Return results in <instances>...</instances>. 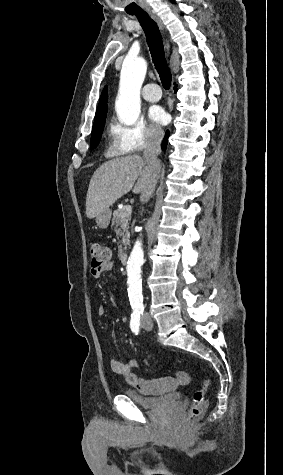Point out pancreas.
<instances>
[{
    "mask_svg": "<svg viewBox=\"0 0 283 475\" xmlns=\"http://www.w3.org/2000/svg\"><path fill=\"white\" fill-rule=\"evenodd\" d=\"M127 206L121 208V210H115L113 214L112 226H115L114 230L117 236H120V245H118L119 253H124L129 245V220L131 218V212H127Z\"/></svg>",
    "mask_w": 283,
    "mask_h": 475,
    "instance_id": "cf45deb5",
    "label": "pancreas"
}]
</instances>
